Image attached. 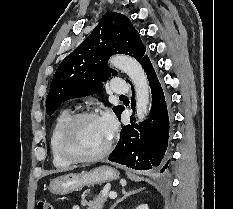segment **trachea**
<instances>
[{"mask_svg":"<svg viewBox=\"0 0 233 209\" xmlns=\"http://www.w3.org/2000/svg\"><path fill=\"white\" fill-rule=\"evenodd\" d=\"M119 97H124V95H120Z\"/></svg>","mask_w":233,"mask_h":209,"instance_id":"trachea-1","label":"trachea"}]
</instances>
